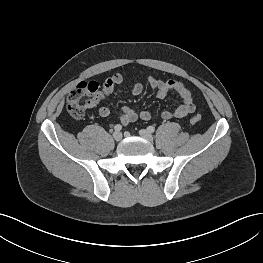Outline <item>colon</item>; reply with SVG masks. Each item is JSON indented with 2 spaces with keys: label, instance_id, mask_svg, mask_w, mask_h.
Here are the masks:
<instances>
[{
  "label": "colon",
  "instance_id": "colon-1",
  "mask_svg": "<svg viewBox=\"0 0 263 263\" xmlns=\"http://www.w3.org/2000/svg\"><path fill=\"white\" fill-rule=\"evenodd\" d=\"M99 86L96 82L85 81L77 84L68 94L66 107L68 113L73 118H82L86 109L92 104L94 96L97 94ZM201 120L199 115L191 118L192 124H197Z\"/></svg>",
  "mask_w": 263,
  "mask_h": 263
}]
</instances>
